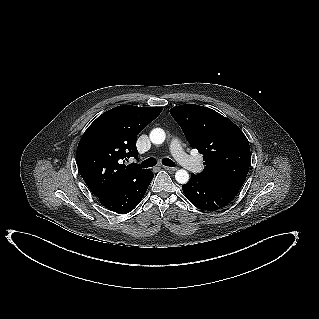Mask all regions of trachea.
Wrapping results in <instances>:
<instances>
[{
    "mask_svg": "<svg viewBox=\"0 0 319 319\" xmlns=\"http://www.w3.org/2000/svg\"><path fill=\"white\" fill-rule=\"evenodd\" d=\"M156 163H157V160L155 158H148L141 163V167H145V168L152 167V166H155ZM162 164L169 167H175V163L169 158H163Z\"/></svg>",
    "mask_w": 319,
    "mask_h": 319,
    "instance_id": "3493384b",
    "label": "trachea"
}]
</instances>
